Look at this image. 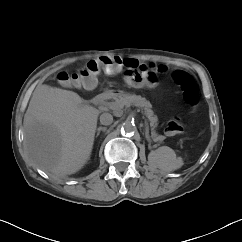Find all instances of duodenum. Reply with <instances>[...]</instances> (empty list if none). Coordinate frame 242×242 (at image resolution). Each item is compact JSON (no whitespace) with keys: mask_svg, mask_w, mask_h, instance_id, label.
<instances>
[{"mask_svg":"<svg viewBox=\"0 0 242 242\" xmlns=\"http://www.w3.org/2000/svg\"><path fill=\"white\" fill-rule=\"evenodd\" d=\"M110 96H111L110 92L100 93V94H98L94 97V101L95 102H101V101L108 99Z\"/></svg>","mask_w":242,"mask_h":242,"instance_id":"410a0bca","label":"duodenum"}]
</instances>
